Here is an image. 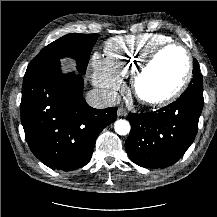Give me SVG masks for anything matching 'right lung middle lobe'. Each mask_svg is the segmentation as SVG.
<instances>
[{
    "mask_svg": "<svg viewBox=\"0 0 217 217\" xmlns=\"http://www.w3.org/2000/svg\"><path fill=\"white\" fill-rule=\"evenodd\" d=\"M97 34H67L52 42L30 62L26 73L44 65L45 63L72 57L77 61V69L84 74L89 61V54L97 41Z\"/></svg>",
    "mask_w": 217,
    "mask_h": 217,
    "instance_id": "obj_1",
    "label": "right lung middle lobe"
}]
</instances>
